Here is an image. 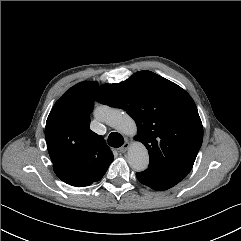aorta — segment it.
Returning a JSON list of instances; mask_svg holds the SVG:
<instances>
[{
    "instance_id": "aorta-1",
    "label": "aorta",
    "mask_w": 241,
    "mask_h": 241,
    "mask_svg": "<svg viewBox=\"0 0 241 241\" xmlns=\"http://www.w3.org/2000/svg\"><path fill=\"white\" fill-rule=\"evenodd\" d=\"M95 117L121 133L133 136L137 133L135 121L124 111L101 106L95 110ZM128 163L135 171H144L149 164V154L141 142L131 144L128 149Z\"/></svg>"
}]
</instances>
